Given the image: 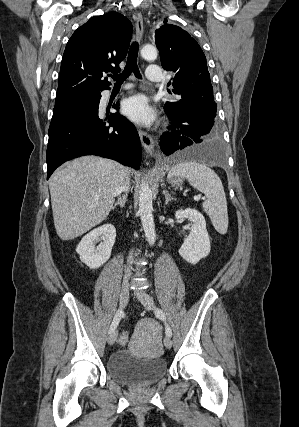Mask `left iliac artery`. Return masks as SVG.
I'll return each instance as SVG.
<instances>
[{"instance_id":"1","label":"left iliac artery","mask_w":299,"mask_h":427,"mask_svg":"<svg viewBox=\"0 0 299 427\" xmlns=\"http://www.w3.org/2000/svg\"><path fill=\"white\" fill-rule=\"evenodd\" d=\"M155 315H156L159 319H161L162 321L166 322L165 314H164V312H163L161 309L157 308V309L155 310ZM165 333H166V335H167L168 337H171V336H172V330H171V328H170L167 324H166V327H165Z\"/></svg>"}]
</instances>
